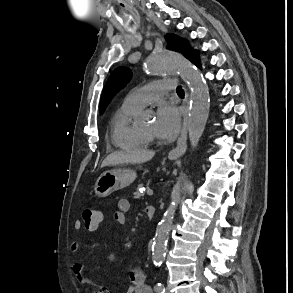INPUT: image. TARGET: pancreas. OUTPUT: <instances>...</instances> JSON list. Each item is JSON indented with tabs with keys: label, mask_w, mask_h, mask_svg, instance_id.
Returning a JSON list of instances; mask_svg holds the SVG:
<instances>
[{
	"label": "pancreas",
	"mask_w": 293,
	"mask_h": 293,
	"mask_svg": "<svg viewBox=\"0 0 293 293\" xmlns=\"http://www.w3.org/2000/svg\"><path fill=\"white\" fill-rule=\"evenodd\" d=\"M144 195H145V193H140L138 188H137V191L134 193V198L139 199V198H142Z\"/></svg>",
	"instance_id": "1"
}]
</instances>
